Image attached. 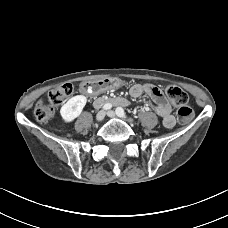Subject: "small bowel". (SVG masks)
I'll return each instance as SVG.
<instances>
[{
    "label": "small bowel",
    "mask_w": 228,
    "mask_h": 228,
    "mask_svg": "<svg viewBox=\"0 0 228 228\" xmlns=\"http://www.w3.org/2000/svg\"><path fill=\"white\" fill-rule=\"evenodd\" d=\"M120 86V83L116 80H102L97 83H85L81 86V91L85 94H97L103 91L115 89ZM129 94L133 98H138L142 95L149 96L154 102L155 112L162 118L163 126L166 128H172L175 125V118L172 115V108L170 102L164 97L161 89L148 84L141 83L133 85Z\"/></svg>",
    "instance_id": "c3829d8e"
}]
</instances>
